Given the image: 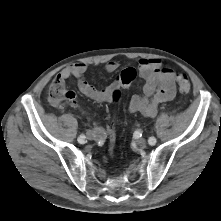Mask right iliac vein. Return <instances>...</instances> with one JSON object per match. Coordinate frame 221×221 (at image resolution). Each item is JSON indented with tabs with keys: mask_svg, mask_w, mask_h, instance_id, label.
<instances>
[{
	"mask_svg": "<svg viewBox=\"0 0 221 221\" xmlns=\"http://www.w3.org/2000/svg\"><path fill=\"white\" fill-rule=\"evenodd\" d=\"M86 136H87V139H88V140H94V139L97 138L96 135H95L92 131H88V132L86 133Z\"/></svg>",
	"mask_w": 221,
	"mask_h": 221,
	"instance_id": "1",
	"label": "right iliac vein"
}]
</instances>
